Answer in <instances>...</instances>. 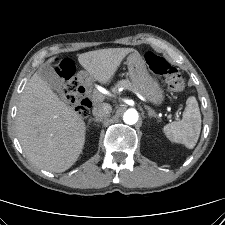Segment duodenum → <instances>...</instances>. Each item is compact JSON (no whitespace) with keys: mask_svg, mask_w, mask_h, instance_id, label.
<instances>
[{"mask_svg":"<svg viewBox=\"0 0 225 225\" xmlns=\"http://www.w3.org/2000/svg\"><path fill=\"white\" fill-rule=\"evenodd\" d=\"M87 78L85 76H80L79 78V85L82 90V94L87 97V90H86ZM88 98V97H87ZM89 99V98H88Z\"/></svg>","mask_w":225,"mask_h":225,"instance_id":"410a0bca","label":"duodenum"}]
</instances>
